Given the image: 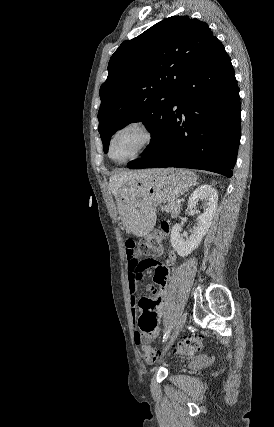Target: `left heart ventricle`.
Masks as SVG:
<instances>
[{
	"instance_id": "1",
	"label": "left heart ventricle",
	"mask_w": 274,
	"mask_h": 427,
	"mask_svg": "<svg viewBox=\"0 0 274 427\" xmlns=\"http://www.w3.org/2000/svg\"><path fill=\"white\" fill-rule=\"evenodd\" d=\"M143 134L137 129H126L118 133L112 142L111 155L116 161L132 157L143 142Z\"/></svg>"
}]
</instances>
